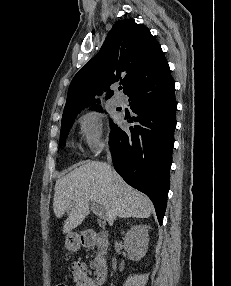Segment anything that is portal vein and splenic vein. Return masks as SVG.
Returning a JSON list of instances; mask_svg holds the SVG:
<instances>
[{"label": "portal vein and splenic vein", "instance_id": "18ae733b", "mask_svg": "<svg viewBox=\"0 0 231 286\" xmlns=\"http://www.w3.org/2000/svg\"><path fill=\"white\" fill-rule=\"evenodd\" d=\"M92 209L93 211L96 213V215L100 218V219H104L105 218V211L103 209L102 206L97 205L96 203L92 204Z\"/></svg>", "mask_w": 231, "mask_h": 286}]
</instances>
